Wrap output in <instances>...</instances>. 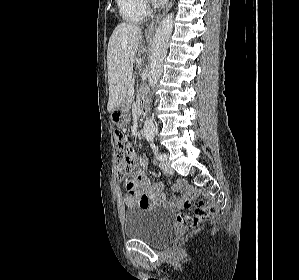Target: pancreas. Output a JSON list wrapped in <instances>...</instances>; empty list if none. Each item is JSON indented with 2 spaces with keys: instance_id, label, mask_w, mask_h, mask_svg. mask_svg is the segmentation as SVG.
Masks as SVG:
<instances>
[{
  "instance_id": "cf45deb5",
  "label": "pancreas",
  "mask_w": 299,
  "mask_h": 280,
  "mask_svg": "<svg viewBox=\"0 0 299 280\" xmlns=\"http://www.w3.org/2000/svg\"><path fill=\"white\" fill-rule=\"evenodd\" d=\"M131 86H133V83H132V82L129 83L128 88H130ZM126 98H127V101H128V102H130V101L132 100V96H130L129 94H127V97H126Z\"/></svg>"
}]
</instances>
